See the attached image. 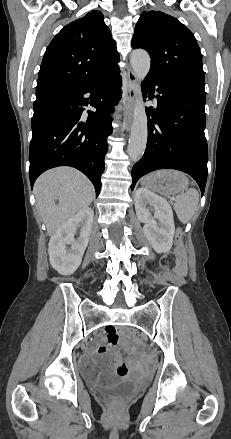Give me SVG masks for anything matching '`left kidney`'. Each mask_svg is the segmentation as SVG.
<instances>
[{
    "instance_id": "1",
    "label": "left kidney",
    "mask_w": 231,
    "mask_h": 439,
    "mask_svg": "<svg viewBox=\"0 0 231 439\" xmlns=\"http://www.w3.org/2000/svg\"><path fill=\"white\" fill-rule=\"evenodd\" d=\"M135 210L138 220L144 223L143 232L152 248L157 253L168 252L175 233L173 212L168 202L140 187L135 192Z\"/></svg>"
}]
</instances>
